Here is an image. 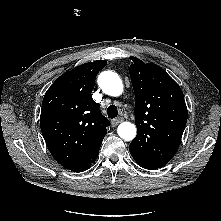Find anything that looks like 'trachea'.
<instances>
[{
	"instance_id": "1",
	"label": "trachea",
	"mask_w": 221,
	"mask_h": 221,
	"mask_svg": "<svg viewBox=\"0 0 221 221\" xmlns=\"http://www.w3.org/2000/svg\"><path fill=\"white\" fill-rule=\"evenodd\" d=\"M107 115L109 118H115L118 115V109L115 105H110L107 109Z\"/></svg>"
}]
</instances>
